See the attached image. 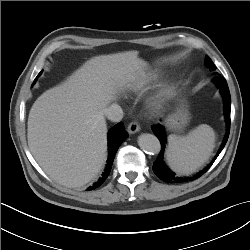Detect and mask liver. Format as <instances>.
Listing matches in <instances>:
<instances>
[{
    "label": "liver",
    "instance_id": "liver-1",
    "mask_svg": "<svg viewBox=\"0 0 250 250\" xmlns=\"http://www.w3.org/2000/svg\"><path fill=\"white\" fill-rule=\"evenodd\" d=\"M138 51L95 56L45 91L28 117L29 149L57 183L81 187L101 170L107 151L104 109L146 68Z\"/></svg>",
    "mask_w": 250,
    "mask_h": 250
}]
</instances>
